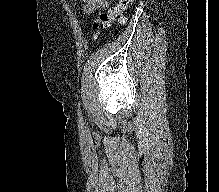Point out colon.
<instances>
[{"mask_svg": "<svg viewBox=\"0 0 219 192\" xmlns=\"http://www.w3.org/2000/svg\"><path fill=\"white\" fill-rule=\"evenodd\" d=\"M134 0H119L107 13H101L93 21V29L96 32L109 28L113 23H123L125 21V13Z\"/></svg>", "mask_w": 219, "mask_h": 192, "instance_id": "5ec220e1", "label": "colon"}]
</instances>
